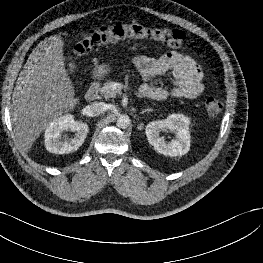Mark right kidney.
Returning a JSON list of instances; mask_svg holds the SVG:
<instances>
[{
  "mask_svg": "<svg viewBox=\"0 0 263 263\" xmlns=\"http://www.w3.org/2000/svg\"><path fill=\"white\" fill-rule=\"evenodd\" d=\"M74 132L70 140L62 139L63 131ZM88 125L75 121L73 115L66 114L53 120L45 130V147L51 153L68 154L76 151L84 142Z\"/></svg>",
  "mask_w": 263,
  "mask_h": 263,
  "instance_id": "1",
  "label": "right kidney"
}]
</instances>
